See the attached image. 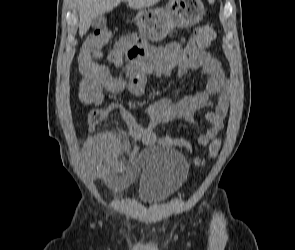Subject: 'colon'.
Wrapping results in <instances>:
<instances>
[{"label":"colon","instance_id":"1","mask_svg":"<svg viewBox=\"0 0 295 250\" xmlns=\"http://www.w3.org/2000/svg\"><path fill=\"white\" fill-rule=\"evenodd\" d=\"M112 34L108 29H98L92 33L82 45L79 53V68L81 72H91L94 66L96 55L100 52L102 47L109 42ZM216 37V31L213 22H206L197 27L193 33V41L201 47L210 44ZM106 109H93L88 112L87 122L91 129H95L108 116ZM221 142L219 139L213 140L207 152L208 158H214L218 155ZM198 164L202 161L198 160Z\"/></svg>","mask_w":295,"mask_h":250}]
</instances>
